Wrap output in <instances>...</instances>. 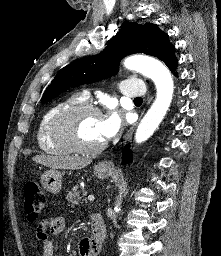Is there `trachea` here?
<instances>
[{
  "mask_svg": "<svg viewBox=\"0 0 221 256\" xmlns=\"http://www.w3.org/2000/svg\"><path fill=\"white\" fill-rule=\"evenodd\" d=\"M134 101H139V102H142L143 99L142 98H135Z\"/></svg>",
  "mask_w": 221,
  "mask_h": 256,
  "instance_id": "obj_1",
  "label": "trachea"
}]
</instances>
